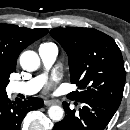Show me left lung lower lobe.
Here are the masks:
<instances>
[{"mask_svg": "<svg viewBox=\"0 0 130 130\" xmlns=\"http://www.w3.org/2000/svg\"><path fill=\"white\" fill-rule=\"evenodd\" d=\"M79 102L82 104L79 111L71 110L69 104L63 102L66 115L53 130H104L118 109V106L97 98Z\"/></svg>", "mask_w": 130, "mask_h": 130, "instance_id": "left-lung-lower-lobe-1", "label": "left lung lower lobe"}]
</instances>
